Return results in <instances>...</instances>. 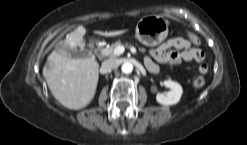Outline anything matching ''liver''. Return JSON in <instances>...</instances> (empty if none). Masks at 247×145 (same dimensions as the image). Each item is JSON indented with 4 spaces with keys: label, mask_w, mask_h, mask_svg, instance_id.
<instances>
[{
    "label": "liver",
    "mask_w": 247,
    "mask_h": 145,
    "mask_svg": "<svg viewBox=\"0 0 247 145\" xmlns=\"http://www.w3.org/2000/svg\"><path fill=\"white\" fill-rule=\"evenodd\" d=\"M126 31L101 32L103 36H118ZM85 28L79 26L74 32L67 35L63 41L64 48L53 51L47 58L43 68V76L55 97L64 107L79 110L86 107L94 98L99 79V64L95 58H72L67 48L85 47L83 36Z\"/></svg>",
    "instance_id": "1"
}]
</instances>
